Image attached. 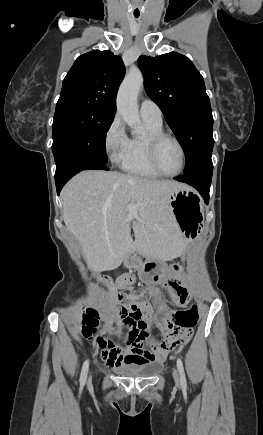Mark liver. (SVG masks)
Instances as JSON below:
<instances>
[{
  "instance_id": "1",
  "label": "liver",
  "mask_w": 263,
  "mask_h": 435,
  "mask_svg": "<svg viewBox=\"0 0 263 435\" xmlns=\"http://www.w3.org/2000/svg\"><path fill=\"white\" fill-rule=\"evenodd\" d=\"M185 185L119 172L87 170L63 188L61 200L67 229L78 240L89 268L112 270L141 252L161 261L181 255L183 234L170 206V195ZM136 205L131 237L129 205Z\"/></svg>"
}]
</instances>
